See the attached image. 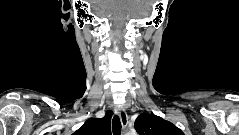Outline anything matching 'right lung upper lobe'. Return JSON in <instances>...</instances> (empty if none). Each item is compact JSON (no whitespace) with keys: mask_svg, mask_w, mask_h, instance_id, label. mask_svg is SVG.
I'll list each match as a JSON object with an SVG mask.
<instances>
[{"mask_svg":"<svg viewBox=\"0 0 239 135\" xmlns=\"http://www.w3.org/2000/svg\"><path fill=\"white\" fill-rule=\"evenodd\" d=\"M113 112L108 110L103 118L88 119L73 135H111L110 119Z\"/></svg>","mask_w":239,"mask_h":135,"instance_id":"obj_1","label":"right lung upper lobe"}]
</instances>
